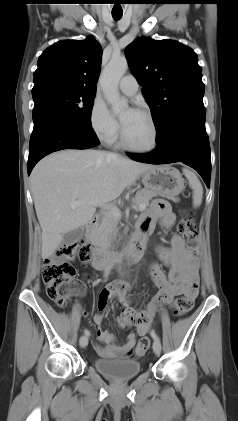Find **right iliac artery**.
<instances>
[{
	"instance_id": "82829eb1",
	"label": "right iliac artery",
	"mask_w": 238,
	"mask_h": 421,
	"mask_svg": "<svg viewBox=\"0 0 238 421\" xmlns=\"http://www.w3.org/2000/svg\"><path fill=\"white\" fill-rule=\"evenodd\" d=\"M109 271H110V267L106 269V271H105V277H107V276H108ZM84 333H85L87 336H89V335H90V332H89L88 330H84Z\"/></svg>"
}]
</instances>
